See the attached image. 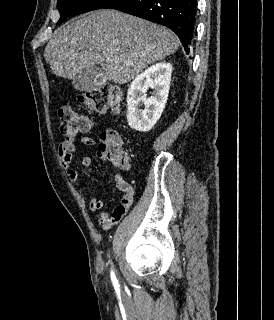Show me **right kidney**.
<instances>
[{
	"label": "right kidney",
	"instance_id": "obj_1",
	"mask_svg": "<svg viewBox=\"0 0 274 320\" xmlns=\"http://www.w3.org/2000/svg\"><path fill=\"white\" fill-rule=\"evenodd\" d=\"M172 66L160 62L147 68L131 82L127 92V122L136 132H149L161 118L167 102ZM154 90L152 98H147V90ZM144 104L145 110L139 106Z\"/></svg>",
	"mask_w": 274,
	"mask_h": 320
}]
</instances>
